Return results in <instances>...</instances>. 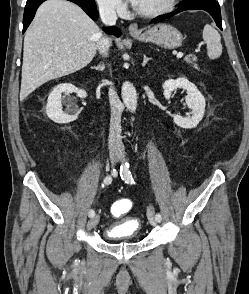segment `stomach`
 <instances>
[{
    "instance_id": "obj_1",
    "label": "stomach",
    "mask_w": 249,
    "mask_h": 294,
    "mask_svg": "<svg viewBox=\"0 0 249 294\" xmlns=\"http://www.w3.org/2000/svg\"><path fill=\"white\" fill-rule=\"evenodd\" d=\"M133 37L139 40L153 42L164 48H176L182 45L183 36L178 29L169 24H158L144 33H131Z\"/></svg>"
}]
</instances>
